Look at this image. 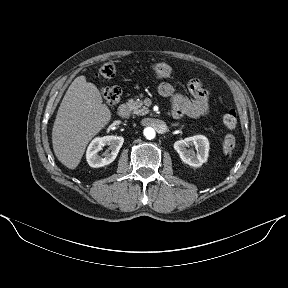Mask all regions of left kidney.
Instances as JSON below:
<instances>
[{"label": "left kidney", "instance_id": "left-kidney-1", "mask_svg": "<svg viewBox=\"0 0 288 288\" xmlns=\"http://www.w3.org/2000/svg\"><path fill=\"white\" fill-rule=\"evenodd\" d=\"M189 147H195L196 152L193 149H187ZM174 149L184 163L200 167L208 159L209 141L203 135H196L175 142Z\"/></svg>", "mask_w": 288, "mask_h": 288}]
</instances>
